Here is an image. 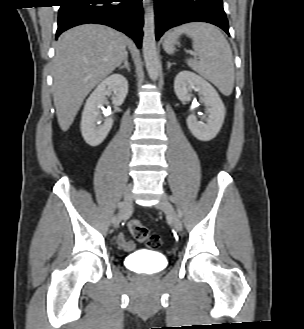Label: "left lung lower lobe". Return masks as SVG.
Returning <instances> with one entry per match:
<instances>
[{
	"instance_id": "0a47b994",
	"label": "left lung lower lobe",
	"mask_w": 304,
	"mask_h": 329,
	"mask_svg": "<svg viewBox=\"0 0 304 329\" xmlns=\"http://www.w3.org/2000/svg\"><path fill=\"white\" fill-rule=\"evenodd\" d=\"M193 21L214 24L229 35L222 0H155L156 40L166 30Z\"/></svg>"
}]
</instances>
